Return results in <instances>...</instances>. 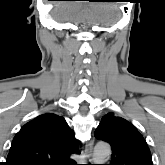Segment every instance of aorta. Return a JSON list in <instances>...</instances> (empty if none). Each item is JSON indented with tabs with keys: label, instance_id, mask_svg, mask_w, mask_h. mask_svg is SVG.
Segmentation results:
<instances>
[{
	"label": "aorta",
	"instance_id": "obj_1",
	"mask_svg": "<svg viewBox=\"0 0 165 165\" xmlns=\"http://www.w3.org/2000/svg\"><path fill=\"white\" fill-rule=\"evenodd\" d=\"M111 155V148L107 143H98L93 152L94 164H104Z\"/></svg>",
	"mask_w": 165,
	"mask_h": 165
}]
</instances>
